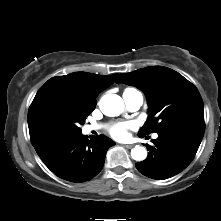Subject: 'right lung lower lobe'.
<instances>
[{
	"instance_id": "98d812e1",
	"label": "right lung lower lobe",
	"mask_w": 221,
	"mask_h": 221,
	"mask_svg": "<svg viewBox=\"0 0 221 221\" xmlns=\"http://www.w3.org/2000/svg\"><path fill=\"white\" fill-rule=\"evenodd\" d=\"M31 142L49 170L76 183L95 177L104 165L106 151L115 144L104 135L89 141L81 133L44 135L32 138Z\"/></svg>"
}]
</instances>
